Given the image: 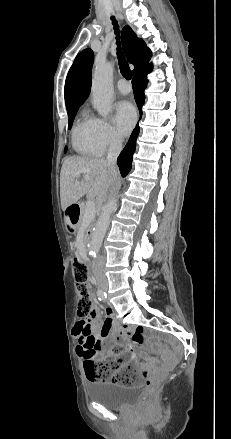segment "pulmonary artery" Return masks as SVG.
<instances>
[{"mask_svg":"<svg viewBox=\"0 0 231 439\" xmlns=\"http://www.w3.org/2000/svg\"><path fill=\"white\" fill-rule=\"evenodd\" d=\"M117 88L123 94H127L131 91V86L125 79H120L117 82Z\"/></svg>","mask_w":231,"mask_h":439,"instance_id":"obj_1","label":"pulmonary artery"}]
</instances>
